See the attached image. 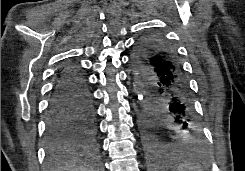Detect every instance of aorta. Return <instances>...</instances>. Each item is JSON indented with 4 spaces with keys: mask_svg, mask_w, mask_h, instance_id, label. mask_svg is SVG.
I'll return each mask as SVG.
<instances>
[{
    "mask_svg": "<svg viewBox=\"0 0 245 171\" xmlns=\"http://www.w3.org/2000/svg\"><path fill=\"white\" fill-rule=\"evenodd\" d=\"M134 87H135L136 93L138 94V97L140 99L141 104L144 105V103H145V99H144L145 93L139 88L137 80L134 81Z\"/></svg>",
    "mask_w": 245,
    "mask_h": 171,
    "instance_id": "1",
    "label": "aorta"
}]
</instances>
